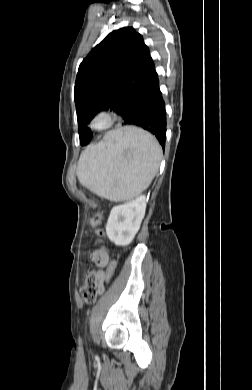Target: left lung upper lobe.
<instances>
[{
  "label": "left lung upper lobe",
  "instance_id": "1",
  "mask_svg": "<svg viewBox=\"0 0 252 390\" xmlns=\"http://www.w3.org/2000/svg\"><path fill=\"white\" fill-rule=\"evenodd\" d=\"M154 70L143 37L131 27L111 32L94 47L80 64L74 87L80 139L99 111L120 114Z\"/></svg>",
  "mask_w": 252,
  "mask_h": 390
}]
</instances>
